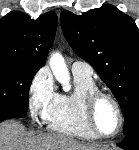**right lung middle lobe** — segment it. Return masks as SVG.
<instances>
[{"instance_id":"obj_1","label":"right lung middle lobe","mask_w":139,"mask_h":150,"mask_svg":"<svg viewBox=\"0 0 139 150\" xmlns=\"http://www.w3.org/2000/svg\"><path fill=\"white\" fill-rule=\"evenodd\" d=\"M37 68L9 62H0V121L25 117L28 92Z\"/></svg>"}]
</instances>
